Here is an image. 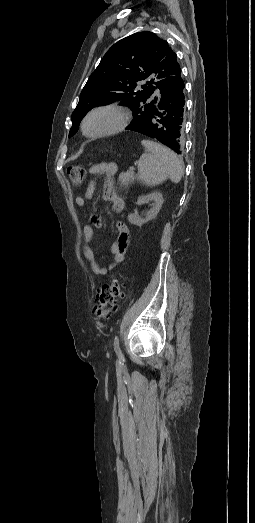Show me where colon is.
<instances>
[{
	"label": "colon",
	"instance_id": "colon-1",
	"mask_svg": "<svg viewBox=\"0 0 255 523\" xmlns=\"http://www.w3.org/2000/svg\"><path fill=\"white\" fill-rule=\"evenodd\" d=\"M67 173L71 182L75 186H80L85 178V169L79 165H71L67 168ZM124 295V284L117 276H112L110 280L103 284L95 304V312L100 318H108L118 307V302Z\"/></svg>",
	"mask_w": 255,
	"mask_h": 523
}]
</instances>
